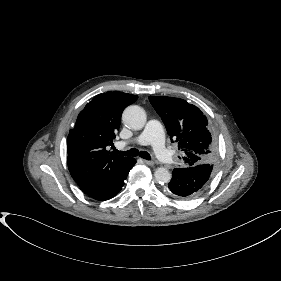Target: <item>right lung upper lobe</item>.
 <instances>
[{
    "mask_svg": "<svg viewBox=\"0 0 281 281\" xmlns=\"http://www.w3.org/2000/svg\"><path fill=\"white\" fill-rule=\"evenodd\" d=\"M138 96L123 92L98 94L80 112L67 138L68 168L84 193L93 196L108 187L131 158L109 152L124 108Z\"/></svg>",
    "mask_w": 281,
    "mask_h": 281,
    "instance_id": "1",
    "label": "right lung upper lobe"
}]
</instances>
